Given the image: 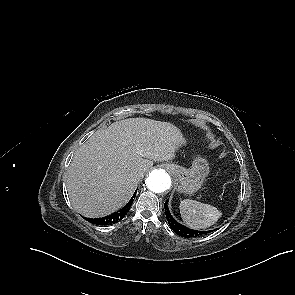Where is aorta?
<instances>
[{
  "label": "aorta",
  "instance_id": "obj_1",
  "mask_svg": "<svg viewBox=\"0 0 295 295\" xmlns=\"http://www.w3.org/2000/svg\"><path fill=\"white\" fill-rule=\"evenodd\" d=\"M146 186L152 192L161 193L170 188L171 178L165 170L154 169L146 179Z\"/></svg>",
  "mask_w": 295,
  "mask_h": 295
}]
</instances>
